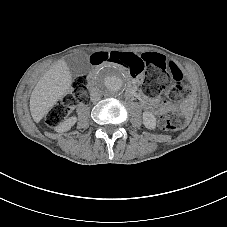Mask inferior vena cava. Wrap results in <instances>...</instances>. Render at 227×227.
I'll use <instances>...</instances> for the list:
<instances>
[{"label": "inferior vena cava", "instance_id": "obj_1", "mask_svg": "<svg viewBox=\"0 0 227 227\" xmlns=\"http://www.w3.org/2000/svg\"><path fill=\"white\" fill-rule=\"evenodd\" d=\"M90 99H91L92 102H97V101H99L100 96H99V93H98L97 89L92 88V89L90 90Z\"/></svg>", "mask_w": 227, "mask_h": 227}]
</instances>
